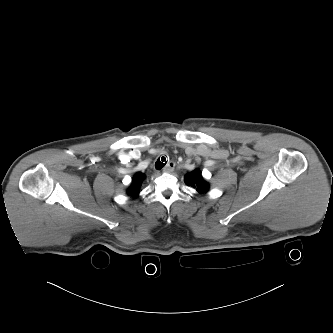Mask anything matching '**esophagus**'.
Listing matches in <instances>:
<instances>
[{"mask_svg": "<svg viewBox=\"0 0 333 333\" xmlns=\"http://www.w3.org/2000/svg\"><path fill=\"white\" fill-rule=\"evenodd\" d=\"M175 168V162L170 161L167 163V165L163 168L162 172L164 173H172Z\"/></svg>", "mask_w": 333, "mask_h": 333, "instance_id": "obj_1", "label": "esophagus"}]
</instances>
